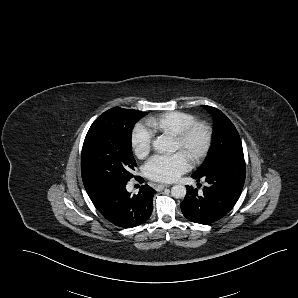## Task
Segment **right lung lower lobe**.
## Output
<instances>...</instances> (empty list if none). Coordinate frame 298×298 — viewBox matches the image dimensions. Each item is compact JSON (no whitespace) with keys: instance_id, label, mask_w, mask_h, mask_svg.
Masks as SVG:
<instances>
[{"instance_id":"98d812e1","label":"right lung lower lobe","mask_w":298,"mask_h":298,"mask_svg":"<svg viewBox=\"0 0 298 298\" xmlns=\"http://www.w3.org/2000/svg\"><path fill=\"white\" fill-rule=\"evenodd\" d=\"M97 210L111 223L132 228L146 222L153 209L154 189L142 185L138 194L127 192L126 183L87 191Z\"/></svg>"}]
</instances>
